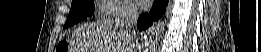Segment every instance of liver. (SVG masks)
Here are the masks:
<instances>
[{
	"label": "liver",
	"mask_w": 261,
	"mask_h": 52,
	"mask_svg": "<svg viewBox=\"0 0 261 52\" xmlns=\"http://www.w3.org/2000/svg\"><path fill=\"white\" fill-rule=\"evenodd\" d=\"M81 52H133L132 38L110 18L85 24L76 32ZM114 46V51H110ZM80 52V51H79Z\"/></svg>",
	"instance_id": "liver-1"
}]
</instances>
